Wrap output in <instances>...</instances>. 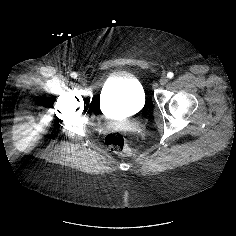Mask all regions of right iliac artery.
<instances>
[{
    "label": "right iliac artery",
    "instance_id": "obj_1",
    "mask_svg": "<svg viewBox=\"0 0 236 236\" xmlns=\"http://www.w3.org/2000/svg\"><path fill=\"white\" fill-rule=\"evenodd\" d=\"M70 75H71V77L74 78V79L77 77V73H76V72H72Z\"/></svg>",
    "mask_w": 236,
    "mask_h": 236
}]
</instances>
